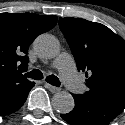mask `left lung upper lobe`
Returning a JSON list of instances; mask_svg holds the SVG:
<instances>
[{"instance_id":"1","label":"left lung upper lobe","mask_w":125,"mask_h":125,"mask_svg":"<svg viewBox=\"0 0 125 125\" xmlns=\"http://www.w3.org/2000/svg\"><path fill=\"white\" fill-rule=\"evenodd\" d=\"M77 69L86 71L87 98L125 101V41L108 27L80 18H60Z\"/></svg>"}]
</instances>
